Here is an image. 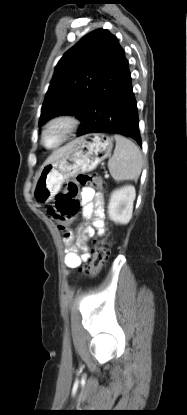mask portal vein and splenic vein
<instances>
[{
    "mask_svg": "<svg viewBox=\"0 0 187 415\" xmlns=\"http://www.w3.org/2000/svg\"><path fill=\"white\" fill-rule=\"evenodd\" d=\"M109 177V175L108 174H105V178H108Z\"/></svg>",
    "mask_w": 187,
    "mask_h": 415,
    "instance_id": "1",
    "label": "portal vein and splenic vein"
}]
</instances>
